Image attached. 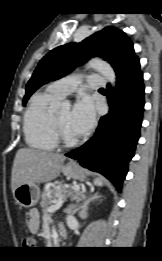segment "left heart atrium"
<instances>
[{"label": "left heart atrium", "mask_w": 162, "mask_h": 261, "mask_svg": "<svg viewBox=\"0 0 162 261\" xmlns=\"http://www.w3.org/2000/svg\"><path fill=\"white\" fill-rule=\"evenodd\" d=\"M95 123V110L92 100L89 97H81L74 105L69 124L77 135L89 132Z\"/></svg>", "instance_id": "1"}]
</instances>
